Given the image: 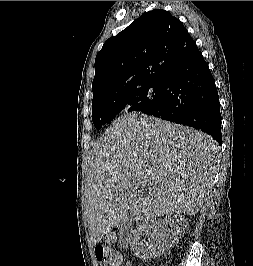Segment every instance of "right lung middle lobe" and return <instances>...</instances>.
I'll list each match as a JSON object with an SVG mask.
<instances>
[{
    "label": "right lung middle lobe",
    "mask_w": 253,
    "mask_h": 266,
    "mask_svg": "<svg viewBox=\"0 0 253 266\" xmlns=\"http://www.w3.org/2000/svg\"><path fill=\"white\" fill-rule=\"evenodd\" d=\"M164 83L155 81L133 90L121 92L92 104V121L96 129L109 123L125 105H132L128 111L145 114L158 109L163 101Z\"/></svg>",
    "instance_id": "obj_1"
}]
</instances>
